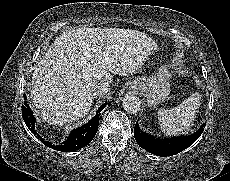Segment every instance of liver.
I'll list each match as a JSON object with an SVG mask.
<instances>
[{
    "instance_id": "obj_1",
    "label": "liver",
    "mask_w": 230,
    "mask_h": 181,
    "mask_svg": "<svg viewBox=\"0 0 230 181\" xmlns=\"http://www.w3.org/2000/svg\"><path fill=\"white\" fill-rule=\"evenodd\" d=\"M154 49L155 42L138 31L84 27L64 32L34 68L31 103L44 122L72 124L89 112L94 85L110 84L113 74L136 73Z\"/></svg>"
}]
</instances>
